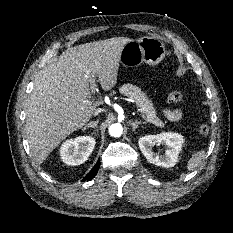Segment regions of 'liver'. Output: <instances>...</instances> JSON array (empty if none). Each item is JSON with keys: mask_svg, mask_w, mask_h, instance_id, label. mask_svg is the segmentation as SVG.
I'll list each match as a JSON object with an SVG mask.
<instances>
[{"mask_svg": "<svg viewBox=\"0 0 233 233\" xmlns=\"http://www.w3.org/2000/svg\"><path fill=\"white\" fill-rule=\"evenodd\" d=\"M130 41L113 37L68 48L35 80L25 132L36 162L42 163L62 140L90 120L103 103L101 94L91 98L90 77H97L104 90L113 88L121 52Z\"/></svg>", "mask_w": 233, "mask_h": 233, "instance_id": "obj_1", "label": "liver"}]
</instances>
